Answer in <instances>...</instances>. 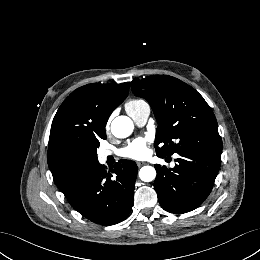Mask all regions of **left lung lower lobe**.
Here are the masks:
<instances>
[{
    "mask_svg": "<svg viewBox=\"0 0 260 260\" xmlns=\"http://www.w3.org/2000/svg\"><path fill=\"white\" fill-rule=\"evenodd\" d=\"M179 155L172 169L155 165L154 188L162 208L171 213L197 208L210 194L220 168L221 151L187 150Z\"/></svg>",
    "mask_w": 260,
    "mask_h": 260,
    "instance_id": "obj_1",
    "label": "left lung lower lobe"
}]
</instances>
